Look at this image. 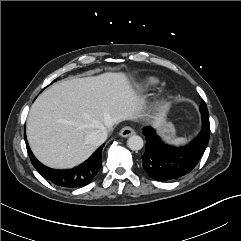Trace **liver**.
<instances>
[{"mask_svg": "<svg viewBox=\"0 0 241 241\" xmlns=\"http://www.w3.org/2000/svg\"><path fill=\"white\" fill-rule=\"evenodd\" d=\"M141 101L123 73L62 80L44 91L31 106L27 138L37 159L56 169L85 161L97 148L89 133L134 119ZM164 119L156 118L155 126Z\"/></svg>", "mask_w": 241, "mask_h": 241, "instance_id": "1", "label": "liver"}]
</instances>
